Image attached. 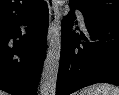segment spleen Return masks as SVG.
<instances>
[{
	"label": "spleen",
	"instance_id": "3e777b00",
	"mask_svg": "<svg viewBox=\"0 0 119 95\" xmlns=\"http://www.w3.org/2000/svg\"><path fill=\"white\" fill-rule=\"evenodd\" d=\"M79 95H119V88L108 83L94 84L81 90Z\"/></svg>",
	"mask_w": 119,
	"mask_h": 95
}]
</instances>
